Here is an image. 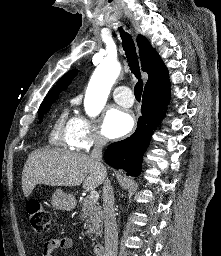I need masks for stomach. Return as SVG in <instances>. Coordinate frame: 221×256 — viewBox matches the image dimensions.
Here are the masks:
<instances>
[{
  "instance_id": "1",
  "label": "stomach",
  "mask_w": 221,
  "mask_h": 256,
  "mask_svg": "<svg viewBox=\"0 0 221 256\" xmlns=\"http://www.w3.org/2000/svg\"><path fill=\"white\" fill-rule=\"evenodd\" d=\"M51 204L55 209L70 211L75 207L76 201L73 195L67 194L61 189H56L52 195Z\"/></svg>"
}]
</instances>
